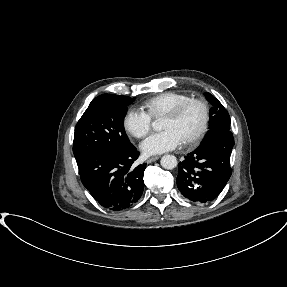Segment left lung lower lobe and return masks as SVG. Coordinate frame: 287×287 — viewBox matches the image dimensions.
Listing matches in <instances>:
<instances>
[{
  "instance_id": "1",
  "label": "left lung lower lobe",
  "mask_w": 287,
  "mask_h": 287,
  "mask_svg": "<svg viewBox=\"0 0 287 287\" xmlns=\"http://www.w3.org/2000/svg\"><path fill=\"white\" fill-rule=\"evenodd\" d=\"M234 145L231 132L224 133L205 146H199L178 164V189L187 199L208 203L228 182L232 169L230 155Z\"/></svg>"
}]
</instances>
